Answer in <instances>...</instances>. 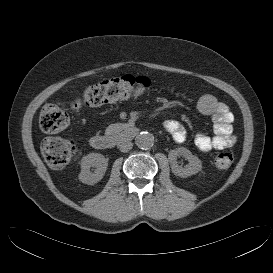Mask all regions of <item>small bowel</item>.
Returning <instances> with one entry per match:
<instances>
[{
    "label": "small bowel",
    "instance_id": "c3829d8e",
    "mask_svg": "<svg viewBox=\"0 0 273 273\" xmlns=\"http://www.w3.org/2000/svg\"><path fill=\"white\" fill-rule=\"evenodd\" d=\"M138 95L140 94L137 93ZM198 111L213 120L214 135L209 136L204 132L195 135V145L202 152L213 149L221 150L232 147L236 143V137L232 134L233 115L226 104L220 102L215 96L206 94L197 102ZM165 130L170 133L176 143H183L186 139V129L177 120L164 122Z\"/></svg>",
    "mask_w": 273,
    "mask_h": 273
}]
</instances>
